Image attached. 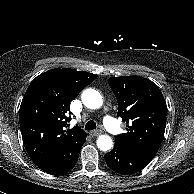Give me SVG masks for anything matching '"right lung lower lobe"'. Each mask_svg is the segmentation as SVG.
Wrapping results in <instances>:
<instances>
[{"label": "right lung lower lobe", "mask_w": 194, "mask_h": 194, "mask_svg": "<svg viewBox=\"0 0 194 194\" xmlns=\"http://www.w3.org/2000/svg\"><path fill=\"white\" fill-rule=\"evenodd\" d=\"M80 148L76 151V153L67 162H65L63 165L53 169V171L47 172V173L53 174V175H59V174H64V173L70 171L75 166V164H76V162L78 160Z\"/></svg>", "instance_id": "1"}]
</instances>
